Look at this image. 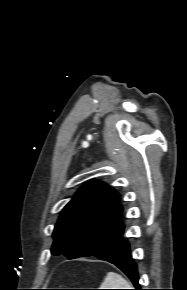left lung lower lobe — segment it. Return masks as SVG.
I'll use <instances>...</instances> for the list:
<instances>
[{"mask_svg":"<svg viewBox=\"0 0 187 290\" xmlns=\"http://www.w3.org/2000/svg\"><path fill=\"white\" fill-rule=\"evenodd\" d=\"M123 229L124 225L121 223L103 246L92 256L116 265L129 277L136 288L135 290H142L138 283L137 266L131 258L129 243L122 237Z\"/></svg>","mask_w":187,"mask_h":290,"instance_id":"left-lung-lower-lobe-1","label":"left lung lower lobe"}]
</instances>
